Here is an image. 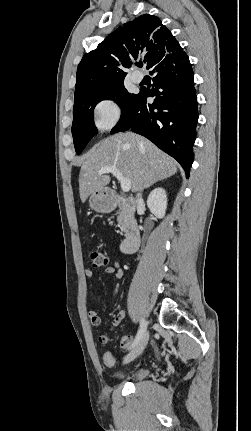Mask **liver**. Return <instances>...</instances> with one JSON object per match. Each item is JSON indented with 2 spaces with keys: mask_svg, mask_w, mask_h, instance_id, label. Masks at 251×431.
<instances>
[{
  "mask_svg": "<svg viewBox=\"0 0 251 431\" xmlns=\"http://www.w3.org/2000/svg\"><path fill=\"white\" fill-rule=\"evenodd\" d=\"M114 166L130 179L132 192H138L177 172V162L148 139L132 132L112 135L85 156L79 174V193L84 203L95 191L102 190L111 178L97 171Z\"/></svg>",
  "mask_w": 251,
  "mask_h": 431,
  "instance_id": "6515ba94",
  "label": "liver"
}]
</instances>
